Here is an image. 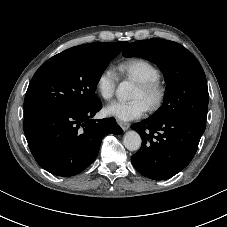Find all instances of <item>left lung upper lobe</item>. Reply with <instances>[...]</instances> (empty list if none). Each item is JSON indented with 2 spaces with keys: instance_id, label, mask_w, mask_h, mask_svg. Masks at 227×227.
<instances>
[{
  "instance_id": "obj_1",
  "label": "left lung upper lobe",
  "mask_w": 227,
  "mask_h": 227,
  "mask_svg": "<svg viewBox=\"0 0 227 227\" xmlns=\"http://www.w3.org/2000/svg\"><path fill=\"white\" fill-rule=\"evenodd\" d=\"M122 54L145 58L157 64L164 74V104L151 119L189 117L205 123L209 96L206 76L190 51L173 41L149 39L129 44Z\"/></svg>"
}]
</instances>
